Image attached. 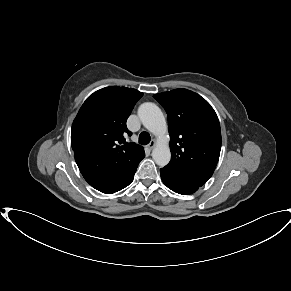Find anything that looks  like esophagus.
<instances>
[{
  "mask_svg": "<svg viewBox=\"0 0 291 291\" xmlns=\"http://www.w3.org/2000/svg\"><path fill=\"white\" fill-rule=\"evenodd\" d=\"M155 145H156L155 140H152V141L147 145V147H148V149L152 150V149L155 147Z\"/></svg>",
  "mask_w": 291,
  "mask_h": 291,
  "instance_id": "34e87169",
  "label": "esophagus"
}]
</instances>
